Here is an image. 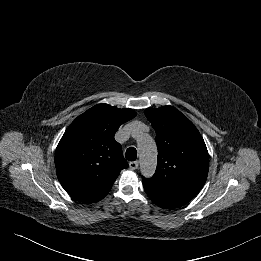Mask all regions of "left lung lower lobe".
I'll return each mask as SVG.
<instances>
[{
  "label": "left lung lower lobe",
  "instance_id": "1",
  "mask_svg": "<svg viewBox=\"0 0 261 261\" xmlns=\"http://www.w3.org/2000/svg\"><path fill=\"white\" fill-rule=\"evenodd\" d=\"M142 183L149 198L157 206L164 209L181 207L193 198V196L183 192L161 189L145 182Z\"/></svg>",
  "mask_w": 261,
  "mask_h": 261
}]
</instances>
